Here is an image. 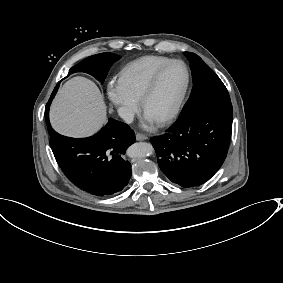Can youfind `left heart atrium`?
Instances as JSON below:
<instances>
[{
    "instance_id": "1",
    "label": "left heart atrium",
    "mask_w": 283,
    "mask_h": 283,
    "mask_svg": "<svg viewBox=\"0 0 283 283\" xmlns=\"http://www.w3.org/2000/svg\"><path fill=\"white\" fill-rule=\"evenodd\" d=\"M143 120H144V123H145V126L148 125V124H153L154 122H156V120L154 118H152L149 114L147 113H144L143 114Z\"/></svg>"
}]
</instances>
